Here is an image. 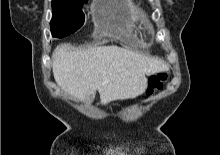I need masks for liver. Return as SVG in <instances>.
<instances>
[{
    "mask_svg": "<svg viewBox=\"0 0 220 155\" xmlns=\"http://www.w3.org/2000/svg\"><path fill=\"white\" fill-rule=\"evenodd\" d=\"M52 59L54 79L62 90L87 102L98 91L102 105L136 98L148 87L146 76L168 70L161 60L114 45L75 50L61 44Z\"/></svg>",
    "mask_w": 220,
    "mask_h": 155,
    "instance_id": "6515ba94",
    "label": "liver"
}]
</instances>
